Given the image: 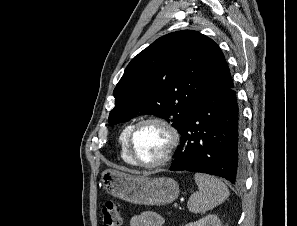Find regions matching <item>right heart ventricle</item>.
<instances>
[{"label": "right heart ventricle", "mask_w": 297, "mask_h": 226, "mask_svg": "<svg viewBox=\"0 0 297 226\" xmlns=\"http://www.w3.org/2000/svg\"><path fill=\"white\" fill-rule=\"evenodd\" d=\"M131 127H132V124H128L123 128V130L120 134L119 140H120V144H121V158H122V160L130 165H134L133 161L131 160V158L127 152V147H126L127 136H128V133H129Z\"/></svg>", "instance_id": "e07e8e85"}]
</instances>
